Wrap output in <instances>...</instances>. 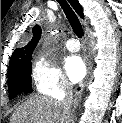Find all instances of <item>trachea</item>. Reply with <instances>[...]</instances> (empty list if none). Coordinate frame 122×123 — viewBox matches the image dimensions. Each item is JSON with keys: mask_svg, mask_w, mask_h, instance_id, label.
<instances>
[{"mask_svg": "<svg viewBox=\"0 0 122 123\" xmlns=\"http://www.w3.org/2000/svg\"><path fill=\"white\" fill-rule=\"evenodd\" d=\"M58 3L62 7L74 33L79 38H81L83 36V28L78 17L76 16V14L74 13V11L72 10V8L70 7V5L67 3L66 0H58Z\"/></svg>", "mask_w": 122, "mask_h": 123, "instance_id": "trachea-1", "label": "trachea"}]
</instances>
